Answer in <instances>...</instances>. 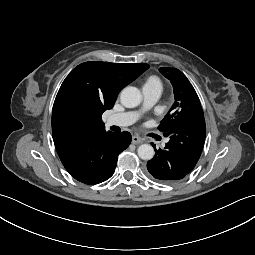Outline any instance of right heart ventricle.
Instances as JSON below:
<instances>
[{
	"label": "right heart ventricle",
	"instance_id": "1",
	"mask_svg": "<svg viewBox=\"0 0 255 255\" xmlns=\"http://www.w3.org/2000/svg\"><path fill=\"white\" fill-rule=\"evenodd\" d=\"M144 87H149V88L159 87L162 89V82L157 76H149L144 83Z\"/></svg>",
	"mask_w": 255,
	"mask_h": 255
}]
</instances>
